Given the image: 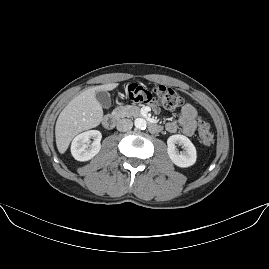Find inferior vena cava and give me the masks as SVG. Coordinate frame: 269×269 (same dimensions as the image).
Wrapping results in <instances>:
<instances>
[{"instance_id": "obj_1", "label": "inferior vena cava", "mask_w": 269, "mask_h": 269, "mask_svg": "<svg viewBox=\"0 0 269 269\" xmlns=\"http://www.w3.org/2000/svg\"><path fill=\"white\" fill-rule=\"evenodd\" d=\"M133 123L130 119L123 118L117 122L116 128L120 132L128 131L132 128Z\"/></svg>"}]
</instances>
